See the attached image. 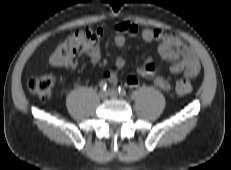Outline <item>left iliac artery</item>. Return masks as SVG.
I'll list each match as a JSON object with an SVG mask.
<instances>
[{
	"instance_id": "obj_1",
	"label": "left iliac artery",
	"mask_w": 231,
	"mask_h": 170,
	"mask_svg": "<svg viewBox=\"0 0 231 170\" xmlns=\"http://www.w3.org/2000/svg\"><path fill=\"white\" fill-rule=\"evenodd\" d=\"M118 92H119V94L122 95V96H126V94H127L125 88L120 87V86L118 87Z\"/></svg>"
}]
</instances>
